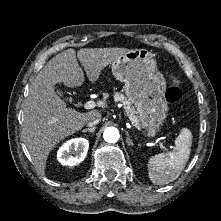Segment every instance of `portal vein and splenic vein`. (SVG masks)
<instances>
[{"instance_id":"portal-vein-and-splenic-vein-1","label":"portal vein and splenic vein","mask_w":221,"mask_h":221,"mask_svg":"<svg viewBox=\"0 0 221 221\" xmlns=\"http://www.w3.org/2000/svg\"><path fill=\"white\" fill-rule=\"evenodd\" d=\"M95 107H96V102L93 101V100H90V101H88V102H86V103L84 104V109H87V110L93 109V108H95ZM155 143H156L157 145H159L162 149L168 150V147L165 146V145L163 144V142L160 141L159 139H156V140H155Z\"/></svg>"}]
</instances>
